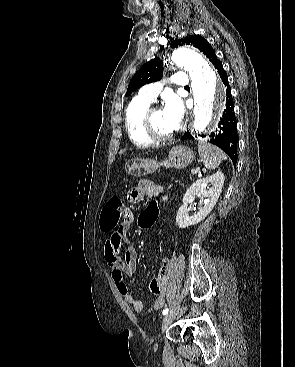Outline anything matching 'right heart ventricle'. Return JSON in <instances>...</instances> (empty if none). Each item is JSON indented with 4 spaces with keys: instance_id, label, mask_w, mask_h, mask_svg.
I'll return each instance as SVG.
<instances>
[{
    "instance_id": "1",
    "label": "right heart ventricle",
    "mask_w": 295,
    "mask_h": 367,
    "mask_svg": "<svg viewBox=\"0 0 295 367\" xmlns=\"http://www.w3.org/2000/svg\"><path fill=\"white\" fill-rule=\"evenodd\" d=\"M151 102L140 98H133L125 110V127L132 143L138 147H149L153 141L144 133L142 121L143 116Z\"/></svg>"
}]
</instances>
